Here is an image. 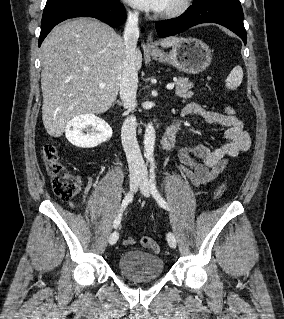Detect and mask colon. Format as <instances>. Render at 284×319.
Returning a JSON list of instances; mask_svg holds the SVG:
<instances>
[{
	"label": "colon",
	"instance_id": "colon-1",
	"mask_svg": "<svg viewBox=\"0 0 284 319\" xmlns=\"http://www.w3.org/2000/svg\"><path fill=\"white\" fill-rule=\"evenodd\" d=\"M227 116H234L236 111L232 106L225 108ZM42 157L45 163L48 174L51 178L52 187L55 194L62 200H71L76 197L82 187V182L79 176L67 171L61 163L58 151L54 145L46 144L42 149ZM226 183H220L214 192V198L219 199L225 192ZM134 243L132 238H127L123 241L125 246H131ZM143 247L149 248L155 253L160 252V246L149 236H143L140 240Z\"/></svg>",
	"mask_w": 284,
	"mask_h": 319
}]
</instances>
